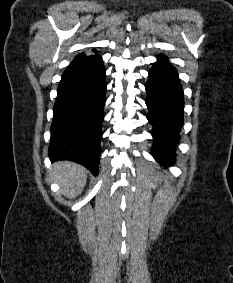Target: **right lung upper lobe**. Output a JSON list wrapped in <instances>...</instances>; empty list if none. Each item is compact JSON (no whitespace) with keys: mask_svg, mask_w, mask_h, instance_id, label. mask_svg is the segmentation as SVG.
I'll return each instance as SVG.
<instances>
[{"mask_svg":"<svg viewBox=\"0 0 233 283\" xmlns=\"http://www.w3.org/2000/svg\"><path fill=\"white\" fill-rule=\"evenodd\" d=\"M100 54H107V49L81 50V53L78 54L75 58H80L85 55L98 56Z\"/></svg>","mask_w":233,"mask_h":283,"instance_id":"right-lung-upper-lobe-1","label":"right lung upper lobe"}]
</instances>
